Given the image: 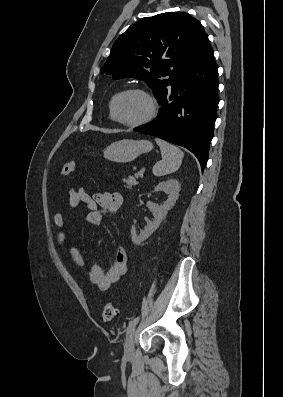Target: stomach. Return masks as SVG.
Listing matches in <instances>:
<instances>
[{
	"instance_id": "1",
	"label": "stomach",
	"mask_w": 283,
	"mask_h": 397,
	"mask_svg": "<svg viewBox=\"0 0 283 397\" xmlns=\"http://www.w3.org/2000/svg\"><path fill=\"white\" fill-rule=\"evenodd\" d=\"M152 149L153 145L148 140L123 139L110 144L103 153L104 157L110 161L127 163Z\"/></svg>"
}]
</instances>
